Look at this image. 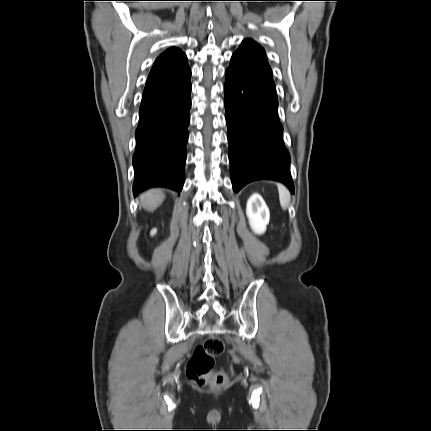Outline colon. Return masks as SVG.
Listing matches in <instances>:
<instances>
[{"instance_id": "obj_1", "label": "colon", "mask_w": 431, "mask_h": 431, "mask_svg": "<svg viewBox=\"0 0 431 431\" xmlns=\"http://www.w3.org/2000/svg\"><path fill=\"white\" fill-rule=\"evenodd\" d=\"M224 351L223 341L216 336L208 337L198 345L186 366L187 377L198 386L210 385L221 388L227 381L224 372L214 369L215 358Z\"/></svg>"}]
</instances>
